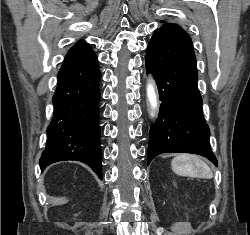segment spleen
Listing matches in <instances>:
<instances>
[{
	"instance_id": "3e777b00",
	"label": "spleen",
	"mask_w": 250,
	"mask_h": 235,
	"mask_svg": "<svg viewBox=\"0 0 250 235\" xmlns=\"http://www.w3.org/2000/svg\"><path fill=\"white\" fill-rule=\"evenodd\" d=\"M172 170L180 176L210 179L211 168L199 157L190 154L176 156L171 162Z\"/></svg>"
}]
</instances>
